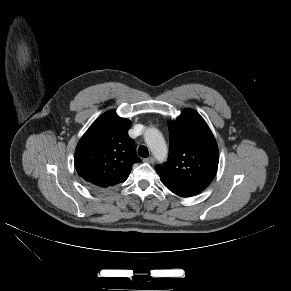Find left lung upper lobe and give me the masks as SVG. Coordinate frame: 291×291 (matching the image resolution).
<instances>
[{
	"instance_id": "1",
	"label": "left lung upper lobe",
	"mask_w": 291,
	"mask_h": 291,
	"mask_svg": "<svg viewBox=\"0 0 291 291\" xmlns=\"http://www.w3.org/2000/svg\"><path fill=\"white\" fill-rule=\"evenodd\" d=\"M170 148L167 163L155 167L159 176L198 191L215 177L219 153L215 138L204 119L185 109L168 124Z\"/></svg>"
}]
</instances>
